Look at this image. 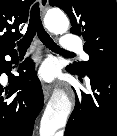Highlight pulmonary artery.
I'll return each mask as SVG.
<instances>
[{"label":"pulmonary artery","mask_w":117,"mask_h":136,"mask_svg":"<svg viewBox=\"0 0 117 136\" xmlns=\"http://www.w3.org/2000/svg\"><path fill=\"white\" fill-rule=\"evenodd\" d=\"M61 47L67 51H78L82 53L85 60L88 59V55L82 51V46L80 40L70 34H65L61 39Z\"/></svg>","instance_id":"e3ab8cb5"}]
</instances>
